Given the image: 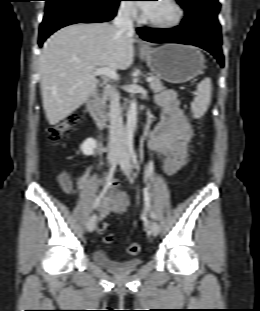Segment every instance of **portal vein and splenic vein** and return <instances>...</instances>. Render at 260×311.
<instances>
[{
    "label": "portal vein and splenic vein",
    "instance_id": "portal-vein-and-splenic-vein-1",
    "mask_svg": "<svg viewBox=\"0 0 260 311\" xmlns=\"http://www.w3.org/2000/svg\"><path fill=\"white\" fill-rule=\"evenodd\" d=\"M77 62H80L79 60H75ZM94 75L95 76H98V75H105V76H108L110 77L111 79H114V80H118L119 76L118 74L116 73L115 70L113 69H110L108 67H102V68H98L94 71ZM153 79L152 77H147V82H152Z\"/></svg>",
    "mask_w": 260,
    "mask_h": 311
}]
</instances>
